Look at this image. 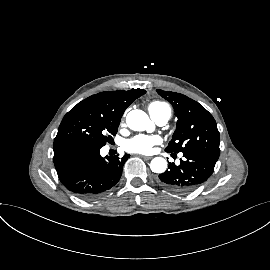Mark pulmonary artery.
<instances>
[{"label":"pulmonary artery","mask_w":270,"mask_h":270,"mask_svg":"<svg viewBox=\"0 0 270 270\" xmlns=\"http://www.w3.org/2000/svg\"><path fill=\"white\" fill-rule=\"evenodd\" d=\"M151 117L153 118V120L160 126L162 125H165L169 118H170V115L165 113V114H160V115H156V116H152Z\"/></svg>","instance_id":"pulmonary-artery-1"}]
</instances>
